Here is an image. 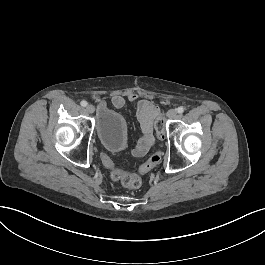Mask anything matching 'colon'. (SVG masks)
I'll return each instance as SVG.
<instances>
[{"mask_svg": "<svg viewBox=\"0 0 265 265\" xmlns=\"http://www.w3.org/2000/svg\"><path fill=\"white\" fill-rule=\"evenodd\" d=\"M161 119H158L155 124V130L157 132V138L161 140L163 138L165 115H160ZM103 164L110 169V178L113 181L120 182L124 187L128 189H137L142 184V175L152 170L160 163L161 153L156 151L152 153L148 159L140 166L138 172H127L114 166L110 158L103 154L101 156Z\"/></svg>", "mask_w": 265, "mask_h": 265, "instance_id": "obj_1", "label": "colon"}]
</instances>
